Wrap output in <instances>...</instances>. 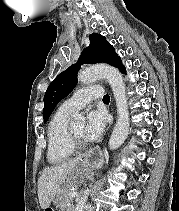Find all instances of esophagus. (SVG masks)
<instances>
[{
	"mask_svg": "<svg viewBox=\"0 0 179 211\" xmlns=\"http://www.w3.org/2000/svg\"><path fill=\"white\" fill-rule=\"evenodd\" d=\"M86 159H90V163H94L97 170V167H101L103 164L104 154H100V151H90L89 154H86Z\"/></svg>",
	"mask_w": 179,
	"mask_h": 211,
	"instance_id": "1",
	"label": "esophagus"
}]
</instances>
